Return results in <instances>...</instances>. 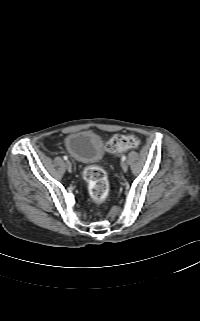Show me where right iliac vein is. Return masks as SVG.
<instances>
[{
  "label": "right iliac vein",
  "mask_w": 200,
  "mask_h": 321,
  "mask_svg": "<svg viewBox=\"0 0 200 321\" xmlns=\"http://www.w3.org/2000/svg\"><path fill=\"white\" fill-rule=\"evenodd\" d=\"M65 165H66V168H67L68 171H71V170H72V164H71L70 161L67 160L66 163H65Z\"/></svg>",
  "instance_id": "63e3f726"
}]
</instances>
